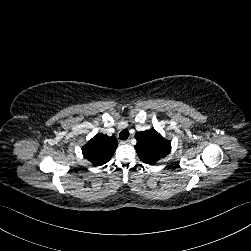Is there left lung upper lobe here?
<instances>
[{
    "label": "left lung upper lobe",
    "mask_w": 251,
    "mask_h": 251,
    "mask_svg": "<svg viewBox=\"0 0 251 251\" xmlns=\"http://www.w3.org/2000/svg\"><path fill=\"white\" fill-rule=\"evenodd\" d=\"M135 138V149L144 163L155 165L171 151V143L154 129L137 132Z\"/></svg>",
    "instance_id": "1"
}]
</instances>
